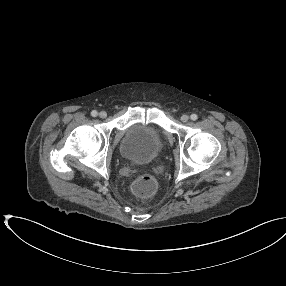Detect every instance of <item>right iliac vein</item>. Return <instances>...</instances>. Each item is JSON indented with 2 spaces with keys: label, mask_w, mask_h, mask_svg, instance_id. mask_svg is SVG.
Returning <instances> with one entry per match:
<instances>
[{
  "label": "right iliac vein",
  "mask_w": 286,
  "mask_h": 286,
  "mask_svg": "<svg viewBox=\"0 0 286 286\" xmlns=\"http://www.w3.org/2000/svg\"><path fill=\"white\" fill-rule=\"evenodd\" d=\"M107 116V113L105 112V111H101L100 113H99V117L100 118H105Z\"/></svg>",
  "instance_id": "63e3f726"
}]
</instances>
